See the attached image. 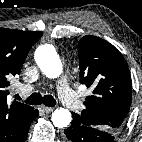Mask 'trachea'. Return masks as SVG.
<instances>
[{"mask_svg": "<svg viewBox=\"0 0 142 142\" xmlns=\"http://www.w3.org/2000/svg\"><path fill=\"white\" fill-rule=\"evenodd\" d=\"M16 99L20 100V96L19 95H16ZM25 102L27 104H30V105H40V104H44L48 107H54L55 104H56V101L55 99L53 98V96L51 95H45V96H42L41 94L39 93H33L32 95H30L26 100Z\"/></svg>", "mask_w": 142, "mask_h": 142, "instance_id": "3493384b", "label": "trachea"}]
</instances>
